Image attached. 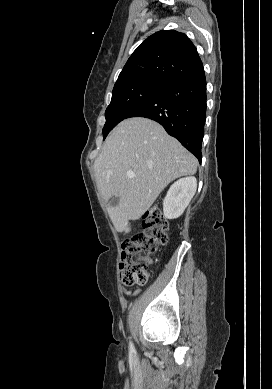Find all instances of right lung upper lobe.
Listing matches in <instances>:
<instances>
[{
  "label": "right lung upper lobe",
  "mask_w": 272,
  "mask_h": 389,
  "mask_svg": "<svg viewBox=\"0 0 272 389\" xmlns=\"http://www.w3.org/2000/svg\"><path fill=\"white\" fill-rule=\"evenodd\" d=\"M201 65L196 47L185 34L162 30L148 37L133 52L114 87L142 80L167 84Z\"/></svg>",
  "instance_id": "cb5924a9"
}]
</instances>
